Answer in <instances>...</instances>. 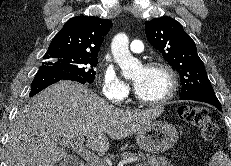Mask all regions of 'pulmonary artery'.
<instances>
[{
    "instance_id": "obj_1",
    "label": "pulmonary artery",
    "mask_w": 231,
    "mask_h": 166,
    "mask_svg": "<svg viewBox=\"0 0 231 166\" xmlns=\"http://www.w3.org/2000/svg\"><path fill=\"white\" fill-rule=\"evenodd\" d=\"M129 48H130L131 52L139 54V53H142L144 51V44L140 40H133L130 43Z\"/></svg>"
}]
</instances>
